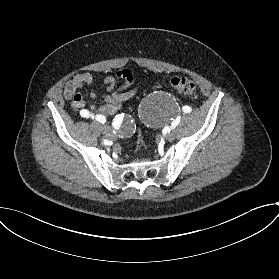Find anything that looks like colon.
<instances>
[{
	"label": "colon",
	"instance_id": "colon-1",
	"mask_svg": "<svg viewBox=\"0 0 279 279\" xmlns=\"http://www.w3.org/2000/svg\"><path fill=\"white\" fill-rule=\"evenodd\" d=\"M170 85L173 89L179 91L180 93L193 97L197 96L198 91L196 83L187 77L175 76L170 79Z\"/></svg>",
	"mask_w": 279,
	"mask_h": 279
}]
</instances>
